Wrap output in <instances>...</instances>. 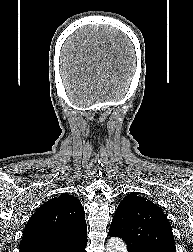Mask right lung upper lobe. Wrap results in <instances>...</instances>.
Instances as JSON below:
<instances>
[{"label": "right lung upper lobe", "instance_id": "cb5924a9", "mask_svg": "<svg viewBox=\"0 0 193 252\" xmlns=\"http://www.w3.org/2000/svg\"><path fill=\"white\" fill-rule=\"evenodd\" d=\"M87 243L85 212L70 195L54 197L29 219L20 252H73Z\"/></svg>", "mask_w": 193, "mask_h": 252}]
</instances>
